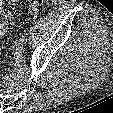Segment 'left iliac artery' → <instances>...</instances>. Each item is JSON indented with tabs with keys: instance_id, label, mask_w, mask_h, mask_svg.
<instances>
[{
	"instance_id": "1",
	"label": "left iliac artery",
	"mask_w": 113,
	"mask_h": 113,
	"mask_svg": "<svg viewBox=\"0 0 113 113\" xmlns=\"http://www.w3.org/2000/svg\"><path fill=\"white\" fill-rule=\"evenodd\" d=\"M20 40H21L22 42H25V43H26V41H27L24 37H22Z\"/></svg>"
}]
</instances>
